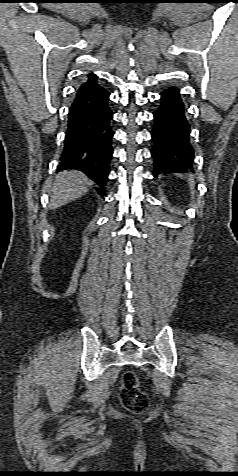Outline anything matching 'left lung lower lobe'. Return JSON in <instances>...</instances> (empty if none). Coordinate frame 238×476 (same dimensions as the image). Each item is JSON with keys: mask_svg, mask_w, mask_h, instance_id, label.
<instances>
[{"mask_svg": "<svg viewBox=\"0 0 238 476\" xmlns=\"http://www.w3.org/2000/svg\"><path fill=\"white\" fill-rule=\"evenodd\" d=\"M153 116V175L156 177L160 173L178 168L191 169L194 150L190 144V124L177 88H169L163 92L160 105L153 112Z\"/></svg>", "mask_w": 238, "mask_h": 476, "instance_id": "1", "label": "left lung lower lobe"}]
</instances>
